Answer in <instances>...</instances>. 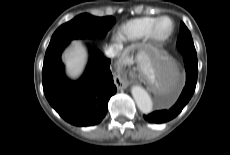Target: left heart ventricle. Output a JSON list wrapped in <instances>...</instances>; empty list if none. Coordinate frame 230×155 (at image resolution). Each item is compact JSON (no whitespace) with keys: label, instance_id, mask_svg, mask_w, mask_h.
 Returning <instances> with one entry per match:
<instances>
[{"label":"left heart ventricle","instance_id":"b2bd125f","mask_svg":"<svg viewBox=\"0 0 230 155\" xmlns=\"http://www.w3.org/2000/svg\"><path fill=\"white\" fill-rule=\"evenodd\" d=\"M171 28V24L168 20L163 21L159 26V31L162 34L167 33Z\"/></svg>","mask_w":230,"mask_h":155}]
</instances>
